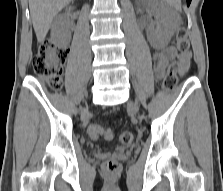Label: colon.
<instances>
[{
    "label": "colon",
    "instance_id": "1",
    "mask_svg": "<svg viewBox=\"0 0 223 191\" xmlns=\"http://www.w3.org/2000/svg\"><path fill=\"white\" fill-rule=\"evenodd\" d=\"M176 47L180 54L189 52L190 42L184 28H179L177 31ZM66 59L67 51L65 48L52 43H45L33 58L32 67L37 75L45 79L51 90L58 91L61 88L63 68ZM179 71L180 65L178 61H173L169 65L163 81V88L167 92L175 89ZM89 132L93 139L103 138L109 140L112 138V132L109 128L98 125L91 126ZM119 139L122 144L129 145L133 142L134 135L131 131L125 130L120 134ZM103 170L108 174H115L119 171V164L113 160L107 161L103 166Z\"/></svg>",
    "mask_w": 223,
    "mask_h": 191
}]
</instances>
